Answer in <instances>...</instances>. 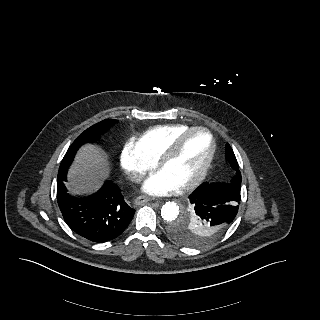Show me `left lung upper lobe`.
I'll return each instance as SVG.
<instances>
[{
  "label": "left lung upper lobe",
  "instance_id": "obj_1",
  "mask_svg": "<svg viewBox=\"0 0 320 320\" xmlns=\"http://www.w3.org/2000/svg\"><path fill=\"white\" fill-rule=\"evenodd\" d=\"M225 152L228 166L236 173L230 184L240 188L242 181L241 173L234 152L228 143L225 146ZM185 221L183 226L180 224H171L169 226L170 233L177 240L187 245H194L200 239H208L207 233L210 229L209 224L202 219L191 206L186 214Z\"/></svg>",
  "mask_w": 320,
  "mask_h": 320
}]
</instances>
